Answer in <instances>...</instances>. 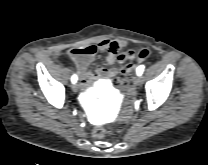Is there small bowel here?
Segmentation results:
<instances>
[{"label":"small bowel","instance_id":"small-bowel-1","mask_svg":"<svg viewBox=\"0 0 208 165\" xmlns=\"http://www.w3.org/2000/svg\"><path fill=\"white\" fill-rule=\"evenodd\" d=\"M124 47L125 43L122 41L103 39L98 44L82 47L83 53H71L69 56L76 65L81 88H87L91 82L101 79H111V91L107 95V100L110 103L117 102L119 95L124 93V87L122 86L123 80L120 76H117L119 69L116 67L104 68L98 66L95 72H93L90 69V64L99 51L107 52L106 60L109 64H114L115 62L124 63L126 61H132L133 58H138L131 50L120 52Z\"/></svg>","mask_w":208,"mask_h":165}]
</instances>
